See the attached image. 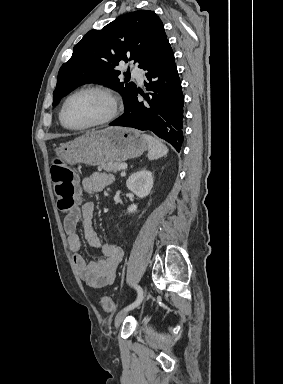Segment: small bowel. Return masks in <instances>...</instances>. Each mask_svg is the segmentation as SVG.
<instances>
[{
    "instance_id": "c3829d8e",
    "label": "small bowel",
    "mask_w": 283,
    "mask_h": 384,
    "mask_svg": "<svg viewBox=\"0 0 283 384\" xmlns=\"http://www.w3.org/2000/svg\"><path fill=\"white\" fill-rule=\"evenodd\" d=\"M113 176L109 173L95 172L82 180V189L87 194H95L111 184ZM94 203L86 201L71 210L64 218V229L68 238V245L80 278L90 288L99 289L110 286L115 278L117 268L123 258V250L116 243H103L92 226ZM81 222L87 243L99 250L103 258L88 261L82 254V239L78 234Z\"/></svg>"
}]
</instances>
